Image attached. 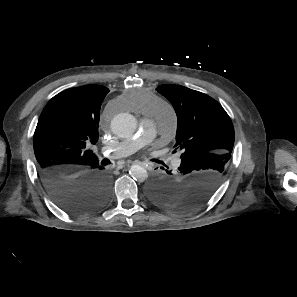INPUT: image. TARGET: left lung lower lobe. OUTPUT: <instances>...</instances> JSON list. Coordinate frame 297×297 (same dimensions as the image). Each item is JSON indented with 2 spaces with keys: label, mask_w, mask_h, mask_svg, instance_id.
Wrapping results in <instances>:
<instances>
[{
  "label": "left lung lower lobe",
  "mask_w": 297,
  "mask_h": 297,
  "mask_svg": "<svg viewBox=\"0 0 297 297\" xmlns=\"http://www.w3.org/2000/svg\"><path fill=\"white\" fill-rule=\"evenodd\" d=\"M166 172L168 174H170V175H165V176L156 178L151 183V185L149 187V190H148L149 193H154V192H157V191H170V189H172V187H173L172 180H171L172 179V176H171L172 173H171V171H168V170H166ZM180 172H181V174H183V172H184V170L182 171V168L181 167H179V173Z\"/></svg>",
  "instance_id": "0a47b994"
}]
</instances>
